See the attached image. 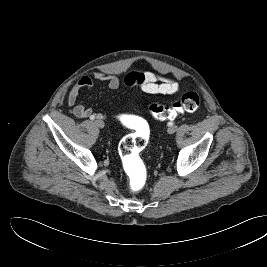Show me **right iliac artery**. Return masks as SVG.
<instances>
[{
    "label": "right iliac artery",
    "instance_id": "right-iliac-artery-1",
    "mask_svg": "<svg viewBox=\"0 0 267 267\" xmlns=\"http://www.w3.org/2000/svg\"><path fill=\"white\" fill-rule=\"evenodd\" d=\"M90 120H95V116H90Z\"/></svg>",
    "mask_w": 267,
    "mask_h": 267
}]
</instances>
